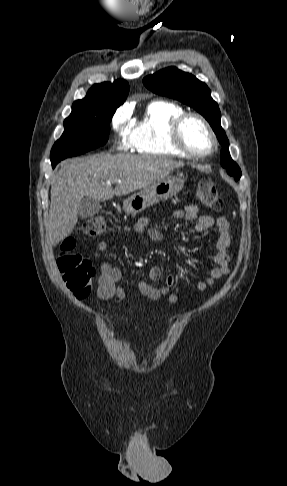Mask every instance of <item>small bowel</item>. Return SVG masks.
<instances>
[{
	"mask_svg": "<svg viewBox=\"0 0 287 486\" xmlns=\"http://www.w3.org/2000/svg\"><path fill=\"white\" fill-rule=\"evenodd\" d=\"M171 216L174 219H186L195 222V230L197 232H204L212 227H216L217 238L215 241L216 253L214 255V262L216 266L211 270L209 277L206 280H200L196 284V289L200 292L205 291L212 286L216 280L228 275L230 273L229 254L227 249L230 245V224L224 217L214 219L209 215H198V207L196 205H188L183 209H178L172 212ZM156 215L140 217L134 224L135 232L145 234L152 241H160L162 233L159 229L150 226V221ZM108 249V242L105 240L97 244L95 250V257L99 258L100 254ZM147 277L152 282H157L163 278L162 269L159 266H153L149 269ZM122 274L121 271L110 265L105 261L100 262V276L98 279V287L96 290L97 297L101 300H108L112 297H117L120 300L126 299V290L121 285ZM175 285L174 275H167L163 279L161 286L153 285L144 280L137 281V287L144 298L150 300H159L164 296H168L170 303H177L181 296L177 292H170Z\"/></svg>",
	"mask_w": 287,
	"mask_h": 486,
	"instance_id": "obj_1",
	"label": "small bowel"
}]
</instances>
